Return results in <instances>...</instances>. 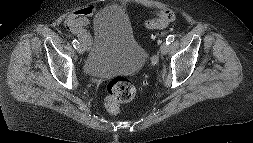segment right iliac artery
<instances>
[{
  "instance_id": "1",
  "label": "right iliac artery",
  "mask_w": 253,
  "mask_h": 143,
  "mask_svg": "<svg viewBox=\"0 0 253 143\" xmlns=\"http://www.w3.org/2000/svg\"><path fill=\"white\" fill-rule=\"evenodd\" d=\"M72 44H73L74 48L77 49V47H78V45H79V42H78V40L73 39V40H72Z\"/></svg>"
}]
</instances>
